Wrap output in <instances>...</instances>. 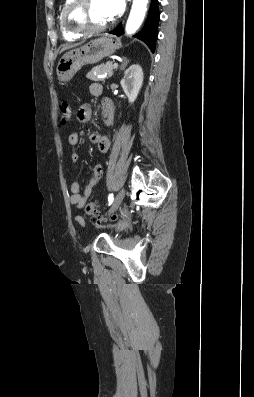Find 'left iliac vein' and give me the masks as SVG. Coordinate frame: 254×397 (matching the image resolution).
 Here are the masks:
<instances>
[{
	"label": "left iliac vein",
	"mask_w": 254,
	"mask_h": 397,
	"mask_svg": "<svg viewBox=\"0 0 254 397\" xmlns=\"http://www.w3.org/2000/svg\"><path fill=\"white\" fill-rule=\"evenodd\" d=\"M125 194H126L125 189H121L119 191V193L115 197V200H114V203H113L112 207L109 210V213H108L109 216L111 214H113L118 209V207L120 206V204L122 203V201H123V199L125 197Z\"/></svg>",
	"instance_id": "obj_1"
}]
</instances>
